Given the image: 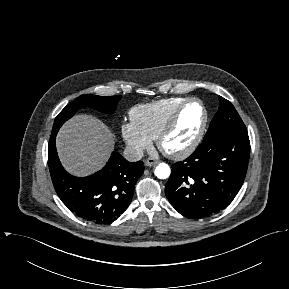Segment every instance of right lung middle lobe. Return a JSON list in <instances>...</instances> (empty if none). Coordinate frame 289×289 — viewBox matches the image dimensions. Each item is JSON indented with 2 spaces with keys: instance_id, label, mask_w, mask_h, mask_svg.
Returning a JSON list of instances; mask_svg holds the SVG:
<instances>
[{
  "instance_id": "right-lung-middle-lobe-1",
  "label": "right lung middle lobe",
  "mask_w": 289,
  "mask_h": 289,
  "mask_svg": "<svg viewBox=\"0 0 289 289\" xmlns=\"http://www.w3.org/2000/svg\"><path fill=\"white\" fill-rule=\"evenodd\" d=\"M121 99V95L101 97L96 95L85 94L79 96L73 102L68 104L55 118L52 133L57 134L60 127L65 121L70 119L79 109L89 107L106 114H113L116 106Z\"/></svg>"
}]
</instances>
